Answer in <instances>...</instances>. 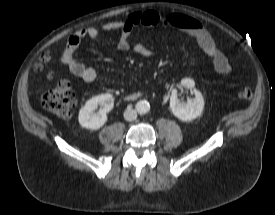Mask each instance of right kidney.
I'll use <instances>...</instances> for the list:
<instances>
[{
  "mask_svg": "<svg viewBox=\"0 0 275 215\" xmlns=\"http://www.w3.org/2000/svg\"><path fill=\"white\" fill-rule=\"evenodd\" d=\"M98 105L100 106V109L95 113ZM113 106L114 99L109 93L101 94L89 99L80 109L78 117L80 125L91 130L100 129L106 123L107 113L112 110Z\"/></svg>",
  "mask_w": 275,
  "mask_h": 215,
  "instance_id": "obj_1",
  "label": "right kidney"
}]
</instances>
